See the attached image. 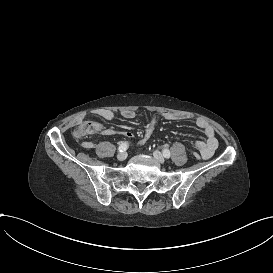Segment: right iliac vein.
Listing matches in <instances>:
<instances>
[{
  "label": "right iliac vein",
  "instance_id": "right-iliac-vein-1",
  "mask_svg": "<svg viewBox=\"0 0 273 273\" xmlns=\"http://www.w3.org/2000/svg\"><path fill=\"white\" fill-rule=\"evenodd\" d=\"M127 158V153L126 152H121L117 155V159L119 161H124Z\"/></svg>",
  "mask_w": 273,
  "mask_h": 273
}]
</instances>
